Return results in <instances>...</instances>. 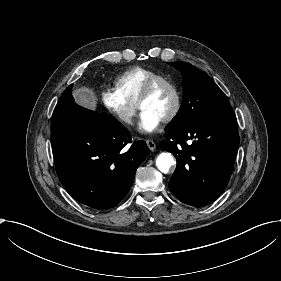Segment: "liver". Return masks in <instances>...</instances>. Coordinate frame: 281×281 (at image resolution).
I'll use <instances>...</instances> for the list:
<instances>
[{
    "label": "liver",
    "mask_w": 281,
    "mask_h": 281,
    "mask_svg": "<svg viewBox=\"0 0 281 281\" xmlns=\"http://www.w3.org/2000/svg\"><path fill=\"white\" fill-rule=\"evenodd\" d=\"M76 103L91 110L96 109L97 101L94 93L87 88H79L73 91Z\"/></svg>",
    "instance_id": "6515ba94"
}]
</instances>
